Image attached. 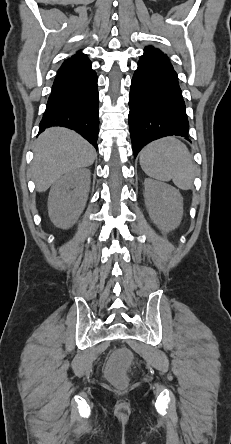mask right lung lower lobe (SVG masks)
<instances>
[{
	"label": "right lung lower lobe",
	"instance_id": "right-lung-lower-lobe-1",
	"mask_svg": "<svg viewBox=\"0 0 231 444\" xmlns=\"http://www.w3.org/2000/svg\"><path fill=\"white\" fill-rule=\"evenodd\" d=\"M97 75L91 65L57 75L48 98L39 132L51 126L73 129L97 149L99 133Z\"/></svg>",
	"mask_w": 231,
	"mask_h": 444
}]
</instances>
